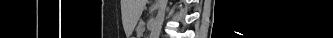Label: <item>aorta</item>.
Segmentation results:
<instances>
[{
	"mask_svg": "<svg viewBox=\"0 0 333 38\" xmlns=\"http://www.w3.org/2000/svg\"><path fill=\"white\" fill-rule=\"evenodd\" d=\"M155 7L157 9V15L151 28L150 38H159L160 36V32L165 18L167 0H156Z\"/></svg>",
	"mask_w": 333,
	"mask_h": 38,
	"instance_id": "1",
	"label": "aorta"
}]
</instances>
